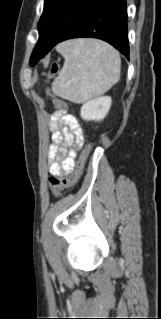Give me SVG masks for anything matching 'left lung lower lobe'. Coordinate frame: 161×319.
Listing matches in <instances>:
<instances>
[{"label": "left lung lower lobe", "instance_id": "1", "mask_svg": "<svg viewBox=\"0 0 161 319\" xmlns=\"http://www.w3.org/2000/svg\"><path fill=\"white\" fill-rule=\"evenodd\" d=\"M83 37L104 40L129 59L126 0H99L73 24L58 43Z\"/></svg>", "mask_w": 161, "mask_h": 319}]
</instances>
